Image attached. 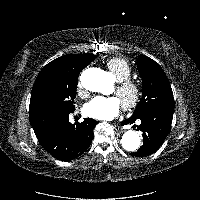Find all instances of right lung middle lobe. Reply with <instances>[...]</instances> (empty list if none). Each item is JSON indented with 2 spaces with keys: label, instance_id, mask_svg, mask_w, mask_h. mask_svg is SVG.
Listing matches in <instances>:
<instances>
[{
  "label": "right lung middle lobe",
  "instance_id": "1",
  "mask_svg": "<svg viewBox=\"0 0 200 200\" xmlns=\"http://www.w3.org/2000/svg\"><path fill=\"white\" fill-rule=\"evenodd\" d=\"M78 76L35 83L31 93L29 114L55 110H74Z\"/></svg>",
  "mask_w": 200,
  "mask_h": 200
}]
</instances>
